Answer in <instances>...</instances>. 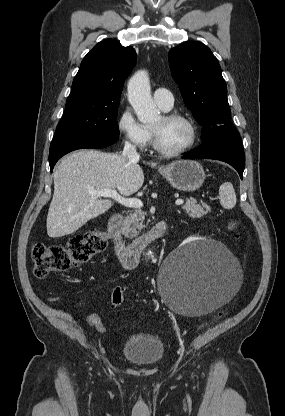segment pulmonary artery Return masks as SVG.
Masks as SVG:
<instances>
[{
  "mask_svg": "<svg viewBox=\"0 0 285 416\" xmlns=\"http://www.w3.org/2000/svg\"><path fill=\"white\" fill-rule=\"evenodd\" d=\"M154 99L163 110H169L173 106L175 96L170 93L169 87H158L154 92Z\"/></svg>",
  "mask_w": 285,
  "mask_h": 416,
  "instance_id": "obj_1",
  "label": "pulmonary artery"
}]
</instances>
